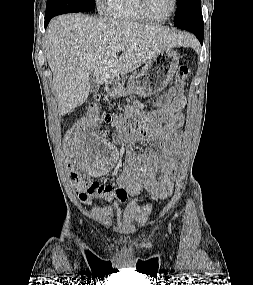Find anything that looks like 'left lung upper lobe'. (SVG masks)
<instances>
[{
  "mask_svg": "<svg viewBox=\"0 0 253 285\" xmlns=\"http://www.w3.org/2000/svg\"><path fill=\"white\" fill-rule=\"evenodd\" d=\"M201 0H177V12L175 14V25L193 15L201 13Z\"/></svg>",
  "mask_w": 253,
  "mask_h": 285,
  "instance_id": "5c2ea615",
  "label": "left lung upper lobe"
}]
</instances>
